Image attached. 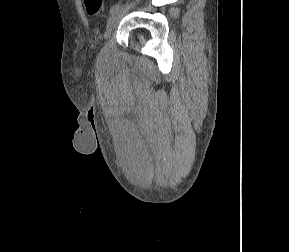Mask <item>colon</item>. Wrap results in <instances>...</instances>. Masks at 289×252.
Segmentation results:
<instances>
[{"label":"colon","mask_w":289,"mask_h":252,"mask_svg":"<svg viewBox=\"0 0 289 252\" xmlns=\"http://www.w3.org/2000/svg\"><path fill=\"white\" fill-rule=\"evenodd\" d=\"M88 14L99 16L104 12V0H84Z\"/></svg>","instance_id":"5ec220e1"}]
</instances>
